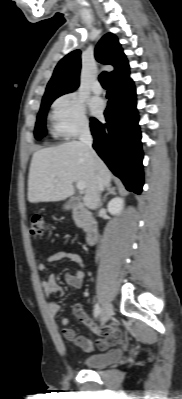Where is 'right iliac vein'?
<instances>
[{
	"instance_id": "63e3f726",
	"label": "right iliac vein",
	"mask_w": 182,
	"mask_h": 399,
	"mask_svg": "<svg viewBox=\"0 0 182 399\" xmlns=\"http://www.w3.org/2000/svg\"><path fill=\"white\" fill-rule=\"evenodd\" d=\"M113 308L110 303H105L101 311V322L106 323L112 316Z\"/></svg>"
}]
</instances>
